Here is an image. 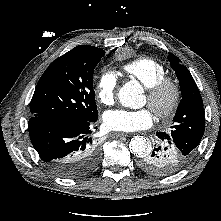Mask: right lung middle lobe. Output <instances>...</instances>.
Returning a JSON list of instances; mask_svg holds the SVG:
<instances>
[{
  "instance_id": "obj_1",
  "label": "right lung middle lobe",
  "mask_w": 221,
  "mask_h": 221,
  "mask_svg": "<svg viewBox=\"0 0 221 221\" xmlns=\"http://www.w3.org/2000/svg\"><path fill=\"white\" fill-rule=\"evenodd\" d=\"M104 54L99 48L71 50L54 60L35 88L31 116L72 121L97 116L92 80Z\"/></svg>"
}]
</instances>
